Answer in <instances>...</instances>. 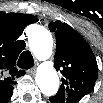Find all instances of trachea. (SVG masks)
Here are the masks:
<instances>
[{
  "label": "trachea",
  "mask_w": 103,
  "mask_h": 103,
  "mask_svg": "<svg viewBox=\"0 0 103 103\" xmlns=\"http://www.w3.org/2000/svg\"><path fill=\"white\" fill-rule=\"evenodd\" d=\"M34 64L33 56L29 51H24L18 60L17 65L22 69H30Z\"/></svg>",
  "instance_id": "1"
}]
</instances>
